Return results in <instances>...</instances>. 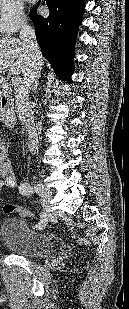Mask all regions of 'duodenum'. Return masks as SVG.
I'll list each match as a JSON object with an SVG mask.
<instances>
[{
  "instance_id": "duodenum-1",
  "label": "duodenum",
  "mask_w": 129,
  "mask_h": 309,
  "mask_svg": "<svg viewBox=\"0 0 129 309\" xmlns=\"http://www.w3.org/2000/svg\"><path fill=\"white\" fill-rule=\"evenodd\" d=\"M0 119L8 128H13L16 125V115L14 112L13 102L11 100L1 101L0 104Z\"/></svg>"
}]
</instances>
